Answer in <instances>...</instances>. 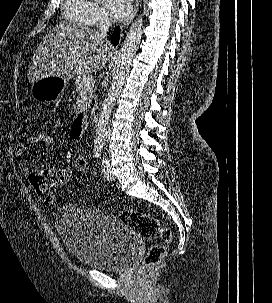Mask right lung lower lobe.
Wrapping results in <instances>:
<instances>
[{"instance_id":"right-lung-lower-lobe-1","label":"right lung lower lobe","mask_w":272,"mask_h":303,"mask_svg":"<svg viewBox=\"0 0 272 303\" xmlns=\"http://www.w3.org/2000/svg\"><path fill=\"white\" fill-rule=\"evenodd\" d=\"M119 35H120V29L119 27L114 31V33L111 36V42L114 45H117L118 41H119Z\"/></svg>"}]
</instances>
